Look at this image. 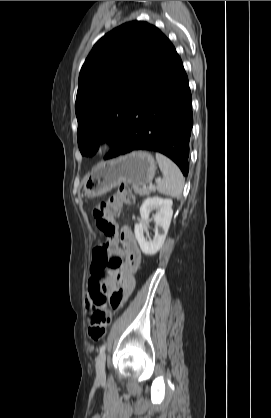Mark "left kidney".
Returning <instances> with one entry per match:
<instances>
[{"label":"left kidney","mask_w":271,"mask_h":418,"mask_svg":"<svg viewBox=\"0 0 271 418\" xmlns=\"http://www.w3.org/2000/svg\"><path fill=\"white\" fill-rule=\"evenodd\" d=\"M172 204L171 199L160 197H148L142 203L140 207L141 221L135 225L134 232L140 249L145 255L152 256L163 246L173 215ZM154 209L158 210V213L154 216L156 223L155 236L153 240H148L144 236L146 221Z\"/></svg>","instance_id":"1"}]
</instances>
